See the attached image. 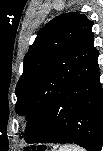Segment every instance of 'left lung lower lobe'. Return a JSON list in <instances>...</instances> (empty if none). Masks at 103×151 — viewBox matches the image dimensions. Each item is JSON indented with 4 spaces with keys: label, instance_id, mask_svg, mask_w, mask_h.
Here are the masks:
<instances>
[{
    "label": "left lung lower lobe",
    "instance_id": "0a47b994",
    "mask_svg": "<svg viewBox=\"0 0 103 151\" xmlns=\"http://www.w3.org/2000/svg\"><path fill=\"white\" fill-rule=\"evenodd\" d=\"M97 58L90 29L33 79L26 142L75 143L101 151L103 90Z\"/></svg>",
    "mask_w": 103,
    "mask_h": 151
}]
</instances>
